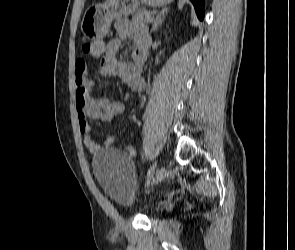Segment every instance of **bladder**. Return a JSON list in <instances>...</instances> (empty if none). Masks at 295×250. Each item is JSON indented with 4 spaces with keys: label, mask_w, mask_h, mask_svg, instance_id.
Instances as JSON below:
<instances>
[{
    "label": "bladder",
    "mask_w": 295,
    "mask_h": 250,
    "mask_svg": "<svg viewBox=\"0 0 295 250\" xmlns=\"http://www.w3.org/2000/svg\"><path fill=\"white\" fill-rule=\"evenodd\" d=\"M92 171L102 190L126 208L139 204L131 157L122 150L105 148L92 159Z\"/></svg>",
    "instance_id": "bladder-1"
}]
</instances>
